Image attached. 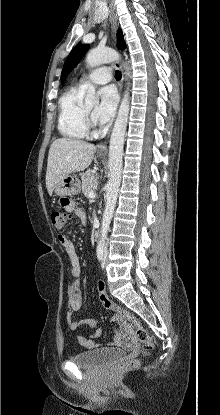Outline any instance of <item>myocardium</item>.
I'll use <instances>...</instances> for the list:
<instances>
[{"label": "myocardium", "instance_id": "f54148a6", "mask_svg": "<svg viewBox=\"0 0 220 415\" xmlns=\"http://www.w3.org/2000/svg\"><path fill=\"white\" fill-rule=\"evenodd\" d=\"M84 116H85V121H86L87 128L88 129L92 128L93 127V122L91 120L90 113L86 110V108H84Z\"/></svg>", "mask_w": 220, "mask_h": 415}]
</instances>
